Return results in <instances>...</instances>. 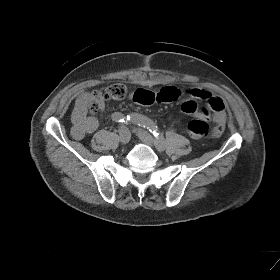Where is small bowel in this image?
Returning <instances> with one entry per match:
<instances>
[{
  "instance_id": "1",
  "label": "small bowel",
  "mask_w": 280,
  "mask_h": 280,
  "mask_svg": "<svg viewBox=\"0 0 280 280\" xmlns=\"http://www.w3.org/2000/svg\"><path fill=\"white\" fill-rule=\"evenodd\" d=\"M88 96V93H83L79 96L72 114L73 127L71 133L76 140H81L85 135L93 133L98 128L97 119L87 115L88 107L86 101ZM181 96L182 91L180 89L174 86H166L157 92L139 88L131 94V99L142 105H152L173 102ZM187 96L188 98L181 106L184 113L196 119L212 120L217 128L224 129L226 106L221 98L204 89H190L187 91ZM98 107L100 110H103L104 103L101 101Z\"/></svg>"
}]
</instances>
